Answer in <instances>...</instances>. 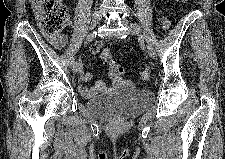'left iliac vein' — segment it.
Masks as SVG:
<instances>
[{
	"label": "left iliac vein",
	"instance_id": "left-iliac-vein-1",
	"mask_svg": "<svg viewBox=\"0 0 225 159\" xmlns=\"http://www.w3.org/2000/svg\"><path fill=\"white\" fill-rule=\"evenodd\" d=\"M122 23L128 27L129 31L132 34L136 35L142 42H145V40H146L145 33H143L141 29L136 27V25L134 23H132L128 20H122ZM145 47H146V51H147L148 55L151 58H154L156 53H155V49H154L153 45L147 41L145 43Z\"/></svg>",
	"mask_w": 225,
	"mask_h": 159
}]
</instances>
